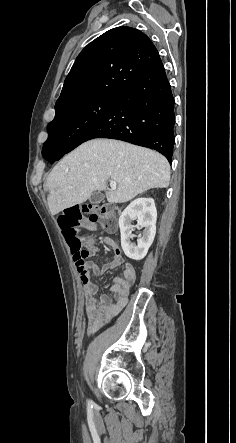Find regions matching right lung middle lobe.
Returning <instances> with one entry per match:
<instances>
[{
    "mask_svg": "<svg viewBox=\"0 0 236 443\" xmlns=\"http://www.w3.org/2000/svg\"><path fill=\"white\" fill-rule=\"evenodd\" d=\"M115 97L111 94L95 95L55 114L47 127L48 139L43 149L50 146L67 147L83 129L82 126L100 115Z\"/></svg>",
    "mask_w": 236,
    "mask_h": 443,
    "instance_id": "obj_1",
    "label": "right lung middle lobe"
}]
</instances>
